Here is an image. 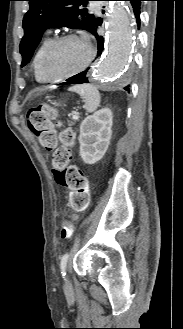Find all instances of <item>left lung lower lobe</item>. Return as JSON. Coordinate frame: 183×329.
<instances>
[{
    "mask_svg": "<svg viewBox=\"0 0 183 329\" xmlns=\"http://www.w3.org/2000/svg\"><path fill=\"white\" fill-rule=\"evenodd\" d=\"M127 1H130L132 4L135 18H136L137 24L139 26L140 25V4H141V1H143V0H127ZM102 12L104 13L105 11L103 10ZM101 24H102V20L100 18L95 19V23L90 31L97 40V49H98L97 56L98 57L102 54V52L104 50V38H103V36L99 35L97 32L98 26H100ZM87 71H88V69L68 78L66 80V82L61 83L60 85L88 83ZM124 89L129 92V90H130L129 85L124 87Z\"/></svg>",
    "mask_w": 183,
    "mask_h": 329,
    "instance_id": "left-lung-lower-lobe-1",
    "label": "left lung lower lobe"
}]
</instances>
